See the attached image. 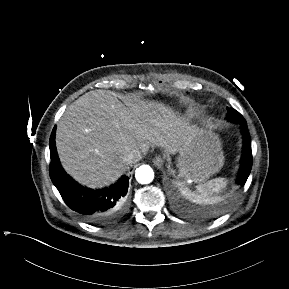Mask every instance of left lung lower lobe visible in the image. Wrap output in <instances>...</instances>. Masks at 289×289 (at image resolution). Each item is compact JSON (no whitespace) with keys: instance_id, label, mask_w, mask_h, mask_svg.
<instances>
[{"instance_id":"left-lung-lower-lobe-1","label":"left lung lower lobe","mask_w":289,"mask_h":289,"mask_svg":"<svg viewBox=\"0 0 289 289\" xmlns=\"http://www.w3.org/2000/svg\"><path fill=\"white\" fill-rule=\"evenodd\" d=\"M243 134H244V149L242 154V163L240 167V171L237 178V183L240 185H244L247 181V178L250 174L252 167V153H251V140L250 135L247 129L246 122L241 123Z\"/></svg>"}]
</instances>
